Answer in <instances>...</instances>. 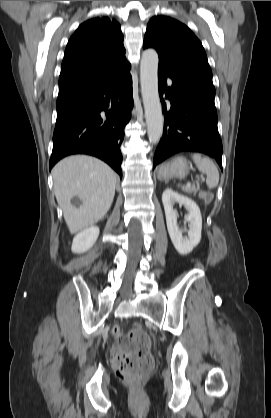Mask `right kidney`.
<instances>
[{
    "instance_id": "obj_1",
    "label": "right kidney",
    "mask_w": 271,
    "mask_h": 418,
    "mask_svg": "<svg viewBox=\"0 0 271 418\" xmlns=\"http://www.w3.org/2000/svg\"><path fill=\"white\" fill-rule=\"evenodd\" d=\"M99 232L100 230L97 226H91L78 233L72 242V252L84 253L88 251L98 239Z\"/></svg>"
}]
</instances>
